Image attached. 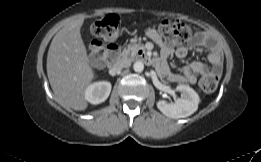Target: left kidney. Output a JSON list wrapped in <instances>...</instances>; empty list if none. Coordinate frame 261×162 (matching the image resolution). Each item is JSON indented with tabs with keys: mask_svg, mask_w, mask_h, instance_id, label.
<instances>
[{
	"mask_svg": "<svg viewBox=\"0 0 261 162\" xmlns=\"http://www.w3.org/2000/svg\"><path fill=\"white\" fill-rule=\"evenodd\" d=\"M176 91L181 93V97L174 103H168L165 100L157 102L158 109L170 118H185L192 115L198 109L200 101L199 95L188 85L180 84Z\"/></svg>",
	"mask_w": 261,
	"mask_h": 162,
	"instance_id": "obj_1",
	"label": "left kidney"
}]
</instances>
